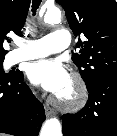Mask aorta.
Segmentation results:
<instances>
[{"instance_id":"obj_1","label":"aorta","mask_w":117,"mask_h":136,"mask_svg":"<svg viewBox=\"0 0 117 136\" xmlns=\"http://www.w3.org/2000/svg\"><path fill=\"white\" fill-rule=\"evenodd\" d=\"M45 23H59L61 11L58 8H50L44 16ZM40 136H62V126L57 118L46 120L41 128Z\"/></svg>"}]
</instances>
